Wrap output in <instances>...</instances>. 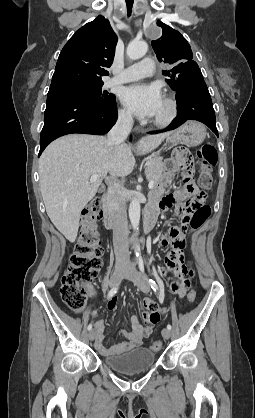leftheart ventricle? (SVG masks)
Returning a JSON list of instances; mask_svg holds the SVG:
<instances>
[{
    "mask_svg": "<svg viewBox=\"0 0 255 418\" xmlns=\"http://www.w3.org/2000/svg\"><path fill=\"white\" fill-rule=\"evenodd\" d=\"M165 111H166V106H165V103L163 101V103H162L160 109L158 110L157 114L155 115V117L163 115L165 113Z\"/></svg>",
    "mask_w": 255,
    "mask_h": 418,
    "instance_id": "1",
    "label": "left heart ventricle"
}]
</instances>
